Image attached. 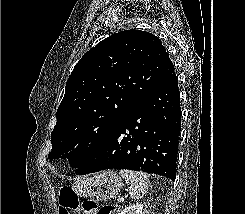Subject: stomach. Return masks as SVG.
Wrapping results in <instances>:
<instances>
[{"label": "stomach", "instance_id": "obj_1", "mask_svg": "<svg viewBox=\"0 0 245 214\" xmlns=\"http://www.w3.org/2000/svg\"><path fill=\"white\" fill-rule=\"evenodd\" d=\"M123 187L122 179L113 171H103L93 177L77 179L72 188L81 197L110 200L118 195Z\"/></svg>", "mask_w": 245, "mask_h": 214}]
</instances>
